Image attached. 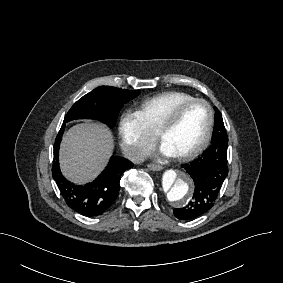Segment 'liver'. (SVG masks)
<instances>
[{
  "mask_svg": "<svg viewBox=\"0 0 283 283\" xmlns=\"http://www.w3.org/2000/svg\"><path fill=\"white\" fill-rule=\"evenodd\" d=\"M112 149L111 133L104 126L93 122L76 125L63 139L61 169L70 180L90 181L107 164Z\"/></svg>",
  "mask_w": 283,
  "mask_h": 283,
  "instance_id": "liver-1",
  "label": "liver"
}]
</instances>
